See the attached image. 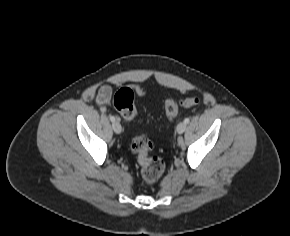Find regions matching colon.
<instances>
[{"instance_id": "colon-1", "label": "colon", "mask_w": 290, "mask_h": 236, "mask_svg": "<svg viewBox=\"0 0 290 236\" xmlns=\"http://www.w3.org/2000/svg\"><path fill=\"white\" fill-rule=\"evenodd\" d=\"M199 103L197 97L175 98L166 100L164 105L167 118H174L179 107H191ZM114 106L126 120L136 119L138 112L134 105V91L131 88H121L114 97ZM152 142L144 135H138L132 139L131 150L136 154L141 166V175L146 184L155 183L163 174L164 161L158 156L150 155Z\"/></svg>"}]
</instances>
